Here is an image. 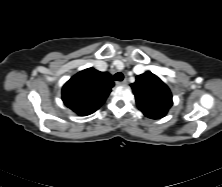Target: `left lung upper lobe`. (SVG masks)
<instances>
[{
	"label": "left lung upper lobe",
	"mask_w": 222,
	"mask_h": 187,
	"mask_svg": "<svg viewBox=\"0 0 222 187\" xmlns=\"http://www.w3.org/2000/svg\"><path fill=\"white\" fill-rule=\"evenodd\" d=\"M131 87L138 108L149 118L164 117L173 104L167 85L150 71L138 75Z\"/></svg>",
	"instance_id": "1"
}]
</instances>
